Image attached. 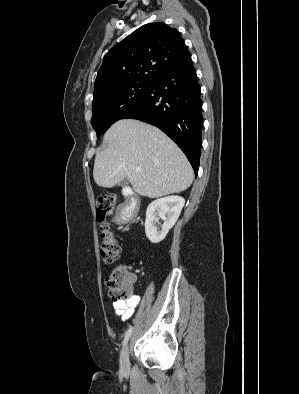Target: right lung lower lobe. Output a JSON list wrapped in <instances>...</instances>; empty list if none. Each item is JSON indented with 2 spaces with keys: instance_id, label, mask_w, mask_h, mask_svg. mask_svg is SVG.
Wrapping results in <instances>:
<instances>
[{
  "instance_id": "obj_1",
  "label": "right lung lower lobe",
  "mask_w": 299,
  "mask_h": 394,
  "mask_svg": "<svg viewBox=\"0 0 299 394\" xmlns=\"http://www.w3.org/2000/svg\"><path fill=\"white\" fill-rule=\"evenodd\" d=\"M126 118L152 124L166 133L187 156L197 175L203 118L200 86L191 54L160 74L122 119Z\"/></svg>"
}]
</instances>
